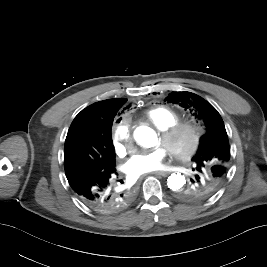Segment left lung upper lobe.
Wrapping results in <instances>:
<instances>
[{
    "label": "left lung upper lobe",
    "mask_w": 267,
    "mask_h": 267,
    "mask_svg": "<svg viewBox=\"0 0 267 267\" xmlns=\"http://www.w3.org/2000/svg\"><path fill=\"white\" fill-rule=\"evenodd\" d=\"M190 109L195 119L205 128L193 156L194 179L179 190L177 197L197 201L214 194L226 179L230 165V147L224 122L217 110L202 97L187 91L172 92L165 101Z\"/></svg>",
    "instance_id": "1"
}]
</instances>
